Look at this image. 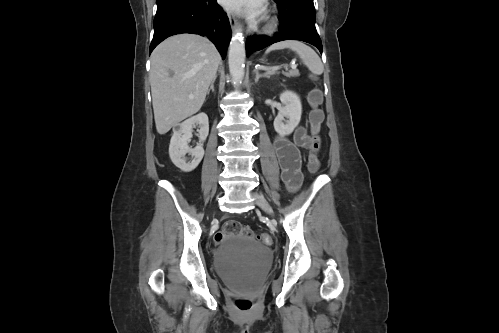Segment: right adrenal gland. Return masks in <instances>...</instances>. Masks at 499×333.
<instances>
[{"mask_svg":"<svg viewBox=\"0 0 499 333\" xmlns=\"http://www.w3.org/2000/svg\"><path fill=\"white\" fill-rule=\"evenodd\" d=\"M216 78H217V75H215L214 79L212 80V82H211V84H210V88H209V89H208V91H207V94H209V93H210V90H212V92H214V91H215V90H214V82H215Z\"/></svg>","mask_w":499,"mask_h":333,"instance_id":"1","label":"right adrenal gland"}]
</instances>
